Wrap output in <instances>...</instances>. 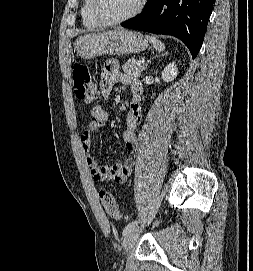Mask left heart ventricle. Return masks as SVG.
I'll list each match as a JSON object with an SVG mask.
<instances>
[{
    "label": "left heart ventricle",
    "mask_w": 253,
    "mask_h": 271,
    "mask_svg": "<svg viewBox=\"0 0 253 271\" xmlns=\"http://www.w3.org/2000/svg\"><path fill=\"white\" fill-rule=\"evenodd\" d=\"M139 0H99V10L106 19L113 20L129 14Z\"/></svg>",
    "instance_id": "obj_1"
}]
</instances>
